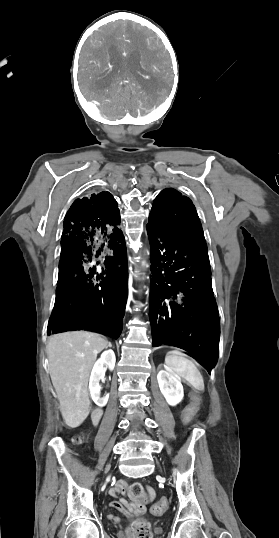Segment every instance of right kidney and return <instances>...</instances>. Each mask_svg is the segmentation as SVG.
<instances>
[{"instance_id": "obj_1", "label": "right kidney", "mask_w": 279, "mask_h": 538, "mask_svg": "<svg viewBox=\"0 0 279 538\" xmlns=\"http://www.w3.org/2000/svg\"><path fill=\"white\" fill-rule=\"evenodd\" d=\"M115 362L116 358L113 350H106V352L101 354V358L95 362L91 372L89 390L93 402H95L96 406H100V408L106 406L109 396H103V398H101V386L99 382L100 380H103L106 368L111 370V372L114 370ZM104 366H106V368H104Z\"/></svg>"}]
</instances>
